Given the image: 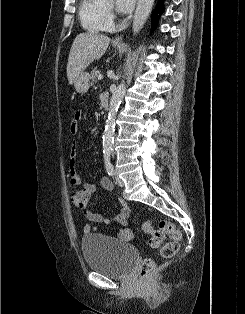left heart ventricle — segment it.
Instances as JSON below:
<instances>
[{
  "instance_id": "obj_1",
  "label": "left heart ventricle",
  "mask_w": 245,
  "mask_h": 314,
  "mask_svg": "<svg viewBox=\"0 0 245 314\" xmlns=\"http://www.w3.org/2000/svg\"><path fill=\"white\" fill-rule=\"evenodd\" d=\"M113 5H114L113 2H109V3H107L105 6H106V8H112Z\"/></svg>"
}]
</instances>
